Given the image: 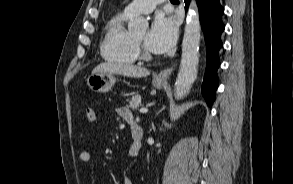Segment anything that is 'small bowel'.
I'll return each mask as SVG.
<instances>
[{
    "instance_id": "obj_1",
    "label": "small bowel",
    "mask_w": 293,
    "mask_h": 184,
    "mask_svg": "<svg viewBox=\"0 0 293 184\" xmlns=\"http://www.w3.org/2000/svg\"><path fill=\"white\" fill-rule=\"evenodd\" d=\"M116 114L126 121L127 123H130L131 121H134V116L131 110L127 107L120 106L115 109ZM139 151L136 150L133 142L131 143L129 147V157L134 158ZM91 153L89 151H82L79 154V161L83 164H89L91 162ZM123 184H134L131 178L124 176L123 177Z\"/></svg>"
}]
</instances>
